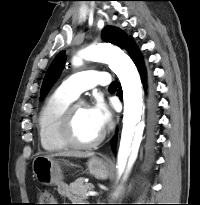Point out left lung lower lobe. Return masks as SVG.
Wrapping results in <instances>:
<instances>
[{
  "label": "left lung lower lobe",
  "mask_w": 200,
  "mask_h": 205,
  "mask_svg": "<svg viewBox=\"0 0 200 205\" xmlns=\"http://www.w3.org/2000/svg\"><path fill=\"white\" fill-rule=\"evenodd\" d=\"M125 50H127V52L129 53L130 57L132 58V60L134 61V63L136 64L143 81H146L147 76H146V69L144 67V63H143V59L142 56L137 48V46L135 45V43L133 42L132 39L129 40V42L127 43V45L124 48ZM148 91H149V109H150V137H149V145L150 147L153 145V129L156 125V109H157V104H156V100L154 97V89L152 84H149L148 86ZM118 95L121 98L122 95V91L121 89H118ZM116 142V138L113 139V144H115Z\"/></svg>",
  "instance_id": "0a47b994"
}]
</instances>
